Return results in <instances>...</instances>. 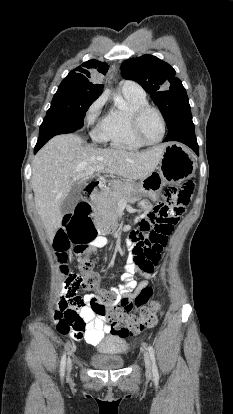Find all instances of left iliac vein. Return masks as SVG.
I'll return each mask as SVG.
<instances>
[{
  "mask_svg": "<svg viewBox=\"0 0 233 414\" xmlns=\"http://www.w3.org/2000/svg\"><path fill=\"white\" fill-rule=\"evenodd\" d=\"M144 362H145L146 373L148 375H151V373H152V365H151L150 355H149L148 352H144Z\"/></svg>",
  "mask_w": 233,
  "mask_h": 414,
  "instance_id": "1",
  "label": "left iliac vein"
}]
</instances>
